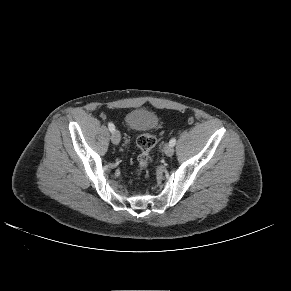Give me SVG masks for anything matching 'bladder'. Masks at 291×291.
Wrapping results in <instances>:
<instances>
[{"mask_svg":"<svg viewBox=\"0 0 291 291\" xmlns=\"http://www.w3.org/2000/svg\"><path fill=\"white\" fill-rule=\"evenodd\" d=\"M125 121L127 126L134 131H147L157 125L158 118L149 110L134 109L126 115Z\"/></svg>","mask_w":291,"mask_h":291,"instance_id":"1","label":"bladder"}]
</instances>
